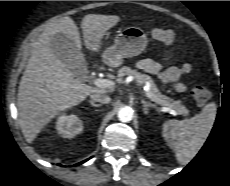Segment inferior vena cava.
Masks as SVG:
<instances>
[{"label":"inferior vena cava","mask_w":230,"mask_h":186,"mask_svg":"<svg viewBox=\"0 0 230 186\" xmlns=\"http://www.w3.org/2000/svg\"><path fill=\"white\" fill-rule=\"evenodd\" d=\"M91 101L100 102L102 104H108L110 102V97L101 93H93L90 95Z\"/></svg>","instance_id":"602c4592"}]
</instances>
